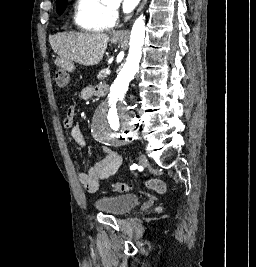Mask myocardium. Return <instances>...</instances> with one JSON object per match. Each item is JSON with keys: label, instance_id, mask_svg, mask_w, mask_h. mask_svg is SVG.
Returning a JSON list of instances; mask_svg holds the SVG:
<instances>
[{"label": "myocardium", "instance_id": "1", "mask_svg": "<svg viewBox=\"0 0 256 267\" xmlns=\"http://www.w3.org/2000/svg\"><path fill=\"white\" fill-rule=\"evenodd\" d=\"M116 5L111 1V3H110V7H115ZM106 21H112V15L111 14H109L108 16H107V18L103 21V22H106ZM113 22V21H112ZM101 31H103V30H101ZM105 32V31H104Z\"/></svg>", "mask_w": 256, "mask_h": 267}]
</instances>
